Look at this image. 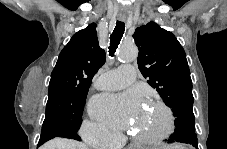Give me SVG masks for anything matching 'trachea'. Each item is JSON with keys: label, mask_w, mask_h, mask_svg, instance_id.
Instances as JSON below:
<instances>
[{"label": "trachea", "mask_w": 227, "mask_h": 149, "mask_svg": "<svg viewBox=\"0 0 227 149\" xmlns=\"http://www.w3.org/2000/svg\"><path fill=\"white\" fill-rule=\"evenodd\" d=\"M125 31V24L122 21H117L113 33L110 36L109 54L113 56L118 45L120 44L121 38Z\"/></svg>", "instance_id": "1"}]
</instances>
